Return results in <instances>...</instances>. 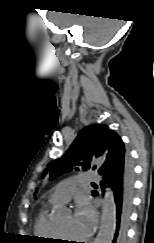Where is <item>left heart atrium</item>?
<instances>
[{"mask_svg":"<svg viewBox=\"0 0 154 243\" xmlns=\"http://www.w3.org/2000/svg\"><path fill=\"white\" fill-rule=\"evenodd\" d=\"M73 223L78 226L85 236L93 231L96 224V215L89 203L81 202L77 206L73 216Z\"/></svg>","mask_w":154,"mask_h":243,"instance_id":"1","label":"left heart atrium"}]
</instances>
